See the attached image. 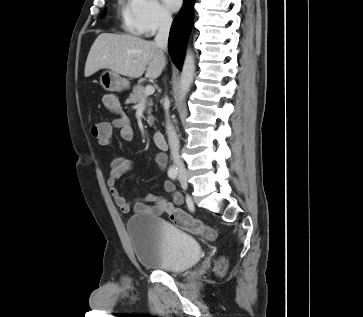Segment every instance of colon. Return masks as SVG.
Segmentation results:
<instances>
[{
    "mask_svg": "<svg viewBox=\"0 0 363 317\" xmlns=\"http://www.w3.org/2000/svg\"><path fill=\"white\" fill-rule=\"evenodd\" d=\"M103 124L104 122H97L91 125V133L93 136L101 134ZM168 215L170 220L181 229H184L192 234L200 235L207 240H212L215 237V231L212 227L204 224L196 218H193L176 207H169ZM224 269L225 262L224 260H220L217 266V271L222 273Z\"/></svg>",
    "mask_w": 363,
    "mask_h": 317,
    "instance_id": "obj_1",
    "label": "colon"
}]
</instances>
